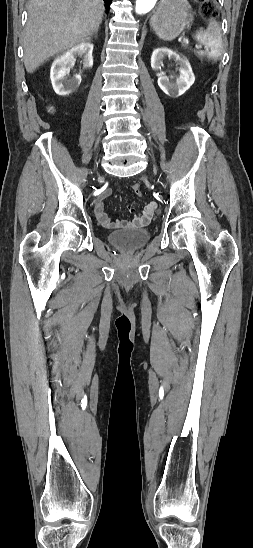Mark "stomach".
I'll return each mask as SVG.
<instances>
[{"instance_id":"0dacf381","label":"stomach","mask_w":253,"mask_h":548,"mask_svg":"<svg viewBox=\"0 0 253 548\" xmlns=\"http://www.w3.org/2000/svg\"><path fill=\"white\" fill-rule=\"evenodd\" d=\"M187 0H162L150 20L156 35L165 41L176 38L192 22Z\"/></svg>"}]
</instances>
